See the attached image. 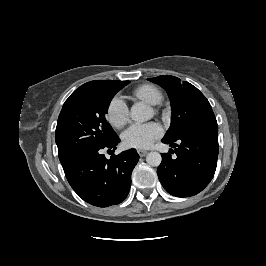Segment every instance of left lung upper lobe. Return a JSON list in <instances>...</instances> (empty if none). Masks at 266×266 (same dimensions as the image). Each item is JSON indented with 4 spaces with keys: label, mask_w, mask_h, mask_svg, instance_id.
Wrapping results in <instances>:
<instances>
[{
    "label": "left lung upper lobe",
    "mask_w": 266,
    "mask_h": 266,
    "mask_svg": "<svg viewBox=\"0 0 266 266\" xmlns=\"http://www.w3.org/2000/svg\"><path fill=\"white\" fill-rule=\"evenodd\" d=\"M163 87L171 101V125L163 140L175 141L198 126L217 123L206 97L189 82L171 75L148 79Z\"/></svg>",
    "instance_id": "1"
}]
</instances>
